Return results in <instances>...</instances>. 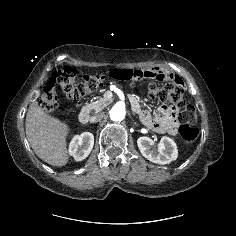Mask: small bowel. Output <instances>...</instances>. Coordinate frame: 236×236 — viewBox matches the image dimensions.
<instances>
[{"mask_svg": "<svg viewBox=\"0 0 236 236\" xmlns=\"http://www.w3.org/2000/svg\"><path fill=\"white\" fill-rule=\"evenodd\" d=\"M108 77L111 80H118L119 82H128L130 84L136 81L141 82L144 79H156L158 81L171 80L179 85H182V80L177 75H174L169 70L164 68H133V67H116L108 70ZM136 111L139 113L141 121L151 129L161 132L175 135L177 133V121L174 118V111L163 106L160 114L153 117L147 110H141L140 107H136Z\"/></svg>", "mask_w": 236, "mask_h": 236, "instance_id": "1", "label": "small bowel"}]
</instances>
